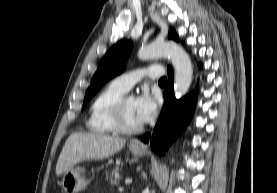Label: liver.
I'll list each match as a JSON object with an SVG mask.
<instances>
[{
	"label": "liver",
	"instance_id": "6515ba94",
	"mask_svg": "<svg viewBox=\"0 0 277 193\" xmlns=\"http://www.w3.org/2000/svg\"><path fill=\"white\" fill-rule=\"evenodd\" d=\"M125 139L99 133H73L66 140L56 164V175L87 160H101L120 151Z\"/></svg>",
	"mask_w": 277,
	"mask_h": 193
}]
</instances>
